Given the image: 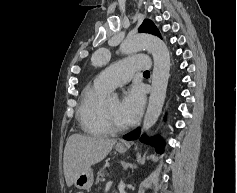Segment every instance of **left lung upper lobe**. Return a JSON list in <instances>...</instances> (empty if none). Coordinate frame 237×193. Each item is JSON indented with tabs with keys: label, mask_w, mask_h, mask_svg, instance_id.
I'll return each mask as SVG.
<instances>
[{
	"label": "left lung upper lobe",
	"mask_w": 237,
	"mask_h": 193,
	"mask_svg": "<svg viewBox=\"0 0 237 193\" xmlns=\"http://www.w3.org/2000/svg\"><path fill=\"white\" fill-rule=\"evenodd\" d=\"M139 32H141V33H150V34H153V35H157L161 38L159 30L154 25V23L149 19H145L143 21L142 25L139 28Z\"/></svg>",
	"instance_id": "left-lung-upper-lobe-1"
}]
</instances>
